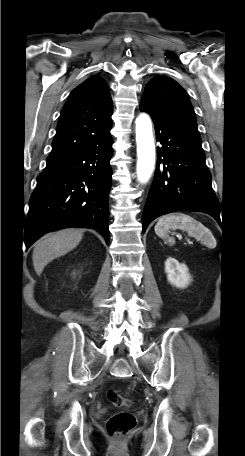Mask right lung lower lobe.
<instances>
[{
    "label": "right lung lower lobe",
    "instance_id": "98d812e1",
    "mask_svg": "<svg viewBox=\"0 0 245 456\" xmlns=\"http://www.w3.org/2000/svg\"><path fill=\"white\" fill-rule=\"evenodd\" d=\"M110 131L87 149L47 163L37 178L25 224L28 249L43 234L66 227L99 231L109 243Z\"/></svg>",
    "mask_w": 245,
    "mask_h": 456
}]
</instances>
